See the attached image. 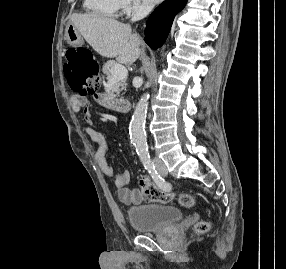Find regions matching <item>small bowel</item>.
I'll list each match as a JSON object with an SVG mask.
<instances>
[{"label":"small bowel","mask_w":286,"mask_h":269,"mask_svg":"<svg viewBox=\"0 0 286 269\" xmlns=\"http://www.w3.org/2000/svg\"><path fill=\"white\" fill-rule=\"evenodd\" d=\"M101 93H108V88H101ZM116 94H93V99H116ZM98 106H108V101H98ZM74 111H82L85 121V133L97 145L95 161L101 172L114 180L118 198L124 203H138L141 201V194L137 189L128 188L130 173L126 170H117L107 160L108 144L105 137L92 127L94 113L88 105L85 94L75 93L71 101ZM161 188V187H160ZM168 190L169 186L162 188Z\"/></svg>","instance_id":"small-bowel-1"}]
</instances>
